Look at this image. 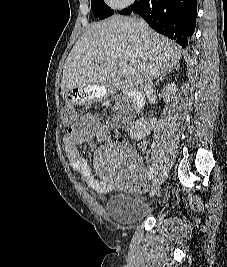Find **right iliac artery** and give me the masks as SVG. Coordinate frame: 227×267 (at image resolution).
<instances>
[{
  "label": "right iliac artery",
  "instance_id": "right-iliac-artery-1",
  "mask_svg": "<svg viewBox=\"0 0 227 267\" xmlns=\"http://www.w3.org/2000/svg\"><path fill=\"white\" fill-rule=\"evenodd\" d=\"M153 169H151L150 170V172H149V175H148V179H151V178H153Z\"/></svg>",
  "mask_w": 227,
  "mask_h": 267
}]
</instances>
